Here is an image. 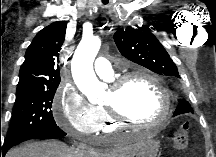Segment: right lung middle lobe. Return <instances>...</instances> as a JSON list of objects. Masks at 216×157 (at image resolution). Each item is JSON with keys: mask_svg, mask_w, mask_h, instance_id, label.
<instances>
[{"mask_svg": "<svg viewBox=\"0 0 216 157\" xmlns=\"http://www.w3.org/2000/svg\"><path fill=\"white\" fill-rule=\"evenodd\" d=\"M56 89L29 91L16 97L10 127L3 145L30 134L59 129L51 110Z\"/></svg>", "mask_w": 216, "mask_h": 157, "instance_id": "right-lung-middle-lobe-1", "label": "right lung middle lobe"}]
</instances>
